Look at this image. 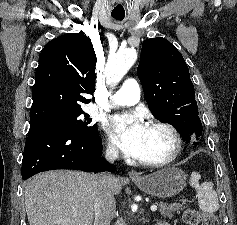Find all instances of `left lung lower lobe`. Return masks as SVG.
<instances>
[{
  "mask_svg": "<svg viewBox=\"0 0 237 225\" xmlns=\"http://www.w3.org/2000/svg\"><path fill=\"white\" fill-rule=\"evenodd\" d=\"M202 134V124L200 121V118H196L194 122L181 133L183 141L188 143L192 139H196V141L193 142L194 146L198 145L199 137Z\"/></svg>",
  "mask_w": 237,
  "mask_h": 225,
  "instance_id": "1",
  "label": "left lung lower lobe"
}]
</instances>
